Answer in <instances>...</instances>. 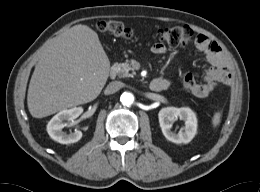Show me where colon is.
<instances>
[{"mask_svg":"<svg viewBox=\"0 0 260 192\" xmlns=\"http://www.w3.org/2000/svg\"><path fill=\"white\" fill-rule=\"evenodd\" d=\"M99 31L114 35L122 40H129L133 36V31L120 21L104 20L97 24ZM152 39L156 43L168 44L170 46H187L194 40L193 31L186 26H178L172 28H163L157 30L152 35ZM197 82L191 74L184 77V88L193 93L197 90Z\"/></svg>","mask_w":260,"mask_h":192,"instance_id":"1","label":"colon"}]
</instances>
